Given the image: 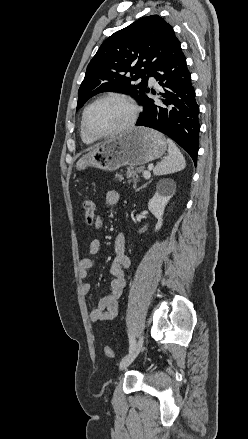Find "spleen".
I'll return each mask as SVG.
<instances>
[{"label":"spleen","instance_id":"obj_1","mask_svg":"<svg viewBox=\"0 0 248 439\" xmlns=\"http://www.w3.org/2000/svg\"><path fill=\"white\" fill-rule=\"evenodd\" d=\"M168 155L159 162L154 168L155 175H167L183 170L186 167V161L182 153L171 140H167Z\"/></svg>","mask_w":248,"mask_h":439}]
</instances>
